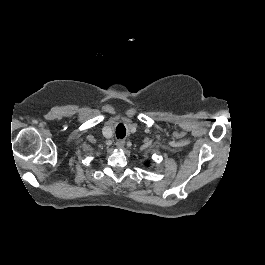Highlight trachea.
Here are the masks:
<instances>
[{
  "label": "trachea",
  "mask_w": 265,
  "mask_h": 265,
  "mask_svg": "<svg viewBox=\"0 0 265 265\" xmlns=\"http://www.w3.org/2000/svg\"><path fill=\"white\" fill-rule=\"evenodd\" d=\"M126 135V129L123 124H120L116 128V136L117 138H123Z\"/></svg>",
  "instance_id": "1"
}]
</instances>
